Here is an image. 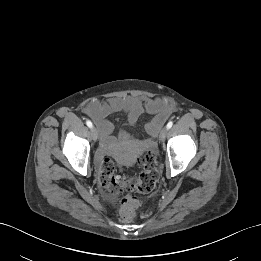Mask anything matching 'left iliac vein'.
<instances>
[{
	"mask_svg": "<svg viewBox=\"0 0 261 261\" xmlns=\"http://www.w3.org/2000/svg\"><path fill=\"white\" fill-rule=\"evenodd\" d=\"M167 134H168V128H167V127H163V128L161 129V131H160L159 139H160L161 141H164L165 138H166V136H167Z\"/></svg>",
	"mask_w": 261,
	"mask_h": 261,
	"instance_id": "1",
	"label": "left iliac vein"
}]
</instances>
